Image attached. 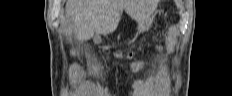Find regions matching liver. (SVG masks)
I'll return each instance as SVG.
<instances>
[{"mask_svg":"<svg viewBox=\"0 0 232 96\" xmlns=\"http://www.w3.org/2000/svg\"><path fill=\"white\" fill-rule=\"evenodd\" d=\"M157 3L158 0H67L66 18L72 23L77 38L84 40L94 33L114 32L123 10L143 26Z\"/></svg>","mask_w":232,"mask_h":96,"instance_id":"6515ba94","label":"liver"}]
</instances>
